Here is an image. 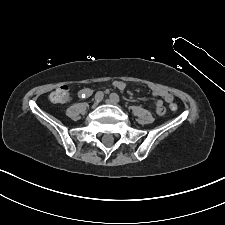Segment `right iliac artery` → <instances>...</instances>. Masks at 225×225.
Returning a JSON list of instances; mask_svg holds the SVG:
<instances>
[{
    "label": "right iliac artery",
    "mask_w": 225,
    "mask_h": 225,
    "mask_svg": "<svg viewBox=\"0 0 225 225\" xmlns=\"http://www.w3.org/2000/svg\"><path fill=\"white\" fill-rule=\"evenodd\" d=\"M82 97H85V94H82ZM104 97L103 92L99 91L95 94V99L101 101Z\"/></svg>",
    "instance_id": "right-iliac-artery-1"
}]
</instances>
